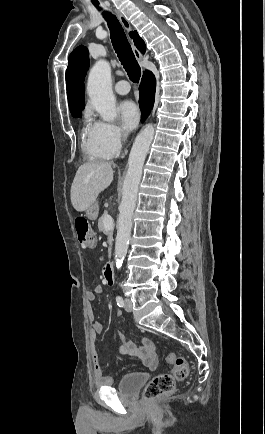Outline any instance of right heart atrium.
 <instances>
[{
  "mask_svg": "<svg viewBox=\"0 0 265 434\" xmlns=\"http://www.w3.org/2000/svg\"><path fill=\"white\" fill-rule=\"evenodd\" d=\"M92 128L96 132H101L96 137L97 145H102L100 151L102 154H124V142L128 141L130 135L128 132H123V127L117 122H108L106 119H99L94 122ZM106 131V132H103ZM106 141H110L113 145H104Z\"/></svg>",
  "mask_w": 265,
  "mask_h": 434,
  "instance_id": "1",
  "label": "right heart atrium"
}]
</instances>
